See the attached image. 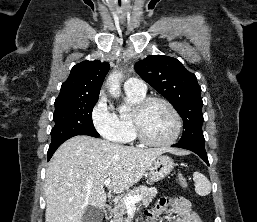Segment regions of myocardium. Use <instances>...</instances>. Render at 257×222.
<instances>
[{
    "instance_id": "obj_1",
    "label": "myocardium",
    "mask_w": 257,
    "mask_h": 222,
    "mask_svg": "<svg viewBox=\"0 0 257 222\" xmlns=\"http://www.w3.org/2000/svg\"><path fill=\"white\" fill-rule=\"evenodd\" d=\"M155 103H161L165 105L170 112L172 113L175 121V130L173 135L164 141H153L149 139L146 134L144 133L143 127H142V119L145 114V112L148 110V108ZM133 129L135 132V136L138 138V140L143 143L144 145L150 146V147H166L174 144L177 139L179 138L181 131H182V118L178 112V110L175 108V106L167 99L162 97H146L144 98L140 103L136 105L134 110L131 114Z\"/></svg>"
}]
</instances>
